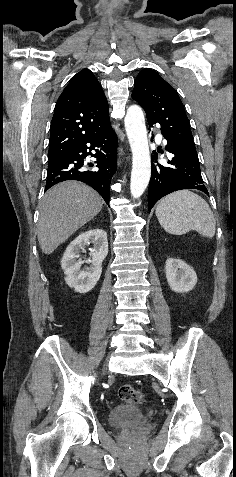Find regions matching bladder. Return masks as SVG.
Segmentation results:
<instances>
[{"mask_svg":"<svg viewBox=\"0 0 236 477\" xmlns=\"http://www.w3.org/2000/svg\"><path fill=\"white\" fill-rule=\"evenodd\" d=\"M143 419V413L136 404L124 402L113 406L108 412V424L114 429L133 426Z\"/></svg>","mask_w":236,"mask_h":477,"instance_id":"bladder-1","label":"bladder"}]
</instances>
